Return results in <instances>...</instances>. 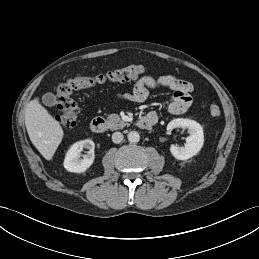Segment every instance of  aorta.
<instances>
[{"label":"aorta","instance_id":"aorta-1","mask_svg":"<svg viewBox=\"0 0 259 259\" xmlns=\"http://www.w3.org/2000/svg\"><path fill=\"white\" fill-rule=\"evenodd\" d=\"M140 140V135L136 131H131L128 134V141L131 143H137Z\"/></svg>","mask_w":259,"mask_h":259}]
</instances>
